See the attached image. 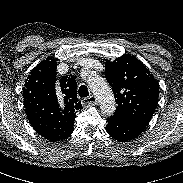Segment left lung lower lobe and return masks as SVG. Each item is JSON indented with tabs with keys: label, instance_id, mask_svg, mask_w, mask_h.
<instances>
[{
	"label": "left lung lower lobe",
	"instance_id": "obj_1",
	"mask_svg": "<svg viewBox=\"0 0 183 183\" xmlns=\"http://www.w3.org/2000/svg\"><path fill=\"white\" fill-rule=\"evenodd\" d=\"M146 126L111 116L107 119L106 131L114 139L125 142L136 138Z\"/></svg>",
	"mask_w": 183,
	"mask_h": 183
}]
</instances>
